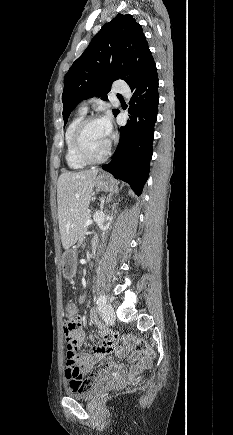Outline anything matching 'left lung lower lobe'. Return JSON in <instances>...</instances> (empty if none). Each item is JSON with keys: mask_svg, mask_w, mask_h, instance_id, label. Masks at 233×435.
<instances>
[{"mask_svg": "<svg viewBox=\"0 0 233 435\" xmlns=\"http://www.w3.org/2000/svg\"><path fill=\"white\" fill-rule=\"evenodd\" d=\"M130 88L133 93L128 109L130 117L127 124L120 128L121 139L112 160L102 169L116 179L127 182L140 195L149 176L154 125L158 114V75L155 63Z\"/></svg>", "mask_w": 233, "mask_h": 435, "instance_id": "0a47b994", "label": "left lung lower lobe"}]
</instances>
